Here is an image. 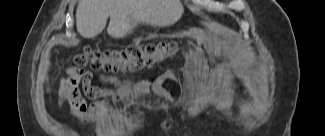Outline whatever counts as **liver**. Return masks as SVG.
<instances>
[{
    "label": "liver",
    "instance_id": "obj_1",
    "mask_svg": "<svg viewBox=\"0 0 325 136\" xmlns=\"http://www.w3.org/2000/svg\"><path fill=\"white\" fill-rule=\"evenodd\" d=\"M184 12L181 0H80L76 10V27L84 38L103 31L123 38L138 24L167 27L176 23Z\"/></svg>",
    "mask_w": 325,
    "mask_h": 136
}]
</instances>
